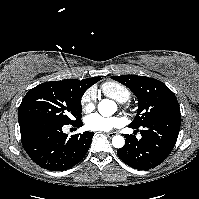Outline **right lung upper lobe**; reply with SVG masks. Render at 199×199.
Returning a JSON list of instances; mask_svg holds the SVG:
<instances>
[{
  "instance_id": "obj_1",
  "label": "right lung upper lobe",
  "mask_w": 199,
  "mask_h": 199,
  "mask_svg": "<svg viewBox=\"0 0 199 199\" xmlns=\"http://www.w3.org/2000/svg\"><path fill=\"white\" fill-rule=\"evenodd\" d=\"M100 79L101 77L87 78L83 80L68 79V80H63V82L73 88H76L85 92L90 86L98 82Z\"/></svg>"
}]
</instances>
